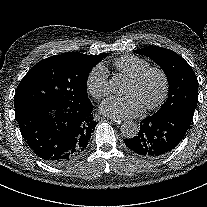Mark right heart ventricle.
Returning <instances> with one entry per match:
<instances>
[{
    "label": "right heart ventricle",
    "mask_w": 207,
    "mask_h": 207,
    "mask_svg": "<svg viewBox=\"0 0 207 207\" xmlns=\"http://www.w3.org/2000/svg\"><path fill=\"white\" fill-rule=\"evenodd\" d=\"M115 67L125 77L132 78L150 67V63L134 55H125L115 61Z\"/></svg>",
    "instance_id": "obj_1"
}]
</instances>
